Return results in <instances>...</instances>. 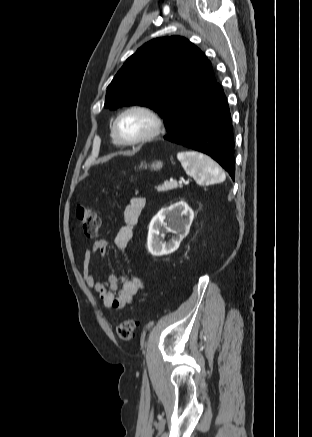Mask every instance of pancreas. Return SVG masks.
<instances>
[{
	"label": "pancreas",
	"mask_w": 312,
	"mask_h": 437,
	"mask_svg": "<svg viewBox=\"0 0 312 437\" xmlns=\"http://www.w3.org/2000/svg\"><path fill=\"white\" fill-rule=\"evenodd\" d=\"M178 187H182L181 184H178L176 181L173 182H168L166 181L163 185H159L156 187V190L158 192H165V191H169V190H173L176 189Z\"/></svg>",
	"instance_id": "obj_1"
}]
</instances>
